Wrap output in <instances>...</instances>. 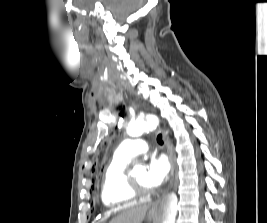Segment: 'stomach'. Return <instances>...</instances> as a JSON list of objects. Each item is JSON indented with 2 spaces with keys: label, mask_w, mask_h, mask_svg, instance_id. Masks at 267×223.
I'll list each match as a JSON object with an SVG mask.
<instances>
[{
  "label": "stomach",
  "mask_w": 267,
  "mask_h": 223,
  "mask_svg": "<svg viewBox=\"0 0 267 223\" xmlns=\"http://www.w3.org/2000/svg\"><path fill=\"white\" fill-rule=\"evenodd\" d=\"M155 215H156V213L154 211L150 210L148 213V219L149 220L153 219L155 217Z\"/></svg>",
  "instance_id": "0dacf381"
}]
</instances>
